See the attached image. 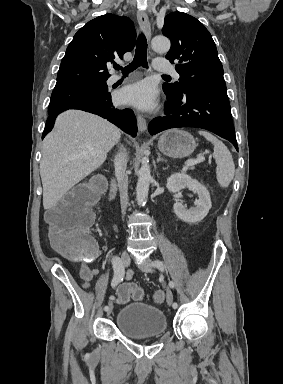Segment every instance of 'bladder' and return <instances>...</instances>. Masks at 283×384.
<instances>
[{
    "label": "bladder",
    "instance_id": "bladder-1",
    "mask_svg": "<svg viewBox=\"0 0 283 384\" xmlns=\"http://www.w3.org/2000/svg\"><path fill=\"white\" fill-rule=\"evenodd\" d=\"M115 325L127 338L158 337L166 332L167 315L162 308L140 300L123 305Z\"/></svg>",
    "mask_w": 283,
    "mask_h": 384
}]
</instances>
